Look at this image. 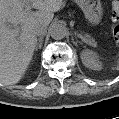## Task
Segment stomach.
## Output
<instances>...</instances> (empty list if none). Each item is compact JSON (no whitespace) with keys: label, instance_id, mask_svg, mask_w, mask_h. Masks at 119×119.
<instances>
[{"label":"stomach","instance_id":"1","mask_svg":"<svg viewBox=\"0 0 119 119\" xmlns=\"http://www.w3.org/2000/svg\"><path fill=\"white\" fill-rule=\"evenodd\" d=\"M75 2L80 6L89 23H99L103 14L100 0H75Z\"/></svg>","mask_w":119,"mask_h":119}]
</instances>
